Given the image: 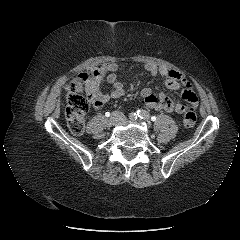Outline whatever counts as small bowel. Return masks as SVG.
<instances>
[{
    "mask_svg": "<svg viewBox=\"0 0 240 240\" xmlns=\"http://www.w3.org/2000/svg\"><path fill=\"white\" fill-rule=\"evenodd\" d=\"M144 67L145 70L152 76L162 77L166 89L180 91L182 98L187 103L184 105L179 102H175L165 92L160 91L156 95L153 93L152 89L144 88L141 91V97L148 108L156 111L163 110L169 113H183L188 104H193L195 107L197 106L198 100L195 91L182 73L164 66H158L153 62L146 63ZM95 69H99L102 74L90 81L86 88V93L94 108L99 109L111 99L122 97L124 95V88L123 85L117 81V63H107L102 67ZM104 79L113 86V90L111 92H102L100 90V83Z\"/></svg>",
    "mask_w": 240,
    "mask_h": 240,
    "instance_id": "1",
    "label": "small bowel"
}]
</instances>
